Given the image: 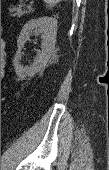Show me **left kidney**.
I'll list each match as a JSON object with an SVG mask.
<instances>
[{
    "label": "left kidney",
    "instance_id": "left-kidney-1",
    "mask_svg": "<svg viewBox=\"0 0 109 170\" xmlns=\"http://www.w3.org/2000/svg\"><path fill=\"white\" fill-rule=\"evenodd\" d=\"M56 34L57 20L54 17H41L28 21L23 26L17 40L18 50L13 59L16 74L20 76L32 75L44 69L54 53ZM32 35L41 36V50L38 52L32 64L24 66L21 63V49Z\"/></svg>",
    "mask_w": 109,
    "mask_h": 170
}]
</instances>
